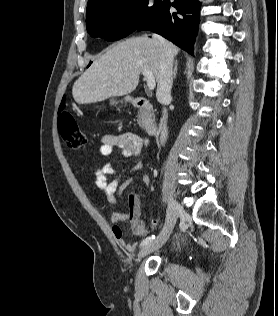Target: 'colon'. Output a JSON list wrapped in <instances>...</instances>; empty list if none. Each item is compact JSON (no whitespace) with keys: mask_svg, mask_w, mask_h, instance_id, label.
<instances>
[{"mask_svg":"<svg viewBox=\"0 0 278 316\" xmlns=\"http://www.w3.org/2000/svg\"><path fill=\"white\" fill-rule=\"evenodd\" d=\"M58 128L60 135L68 148L80 149L86 146L87 137L70 113L62 111L59 114Z\"/></svg>","mask_w":278,"mask_h":316,"instance_id":"1","label":"colon"}]
</instances>
